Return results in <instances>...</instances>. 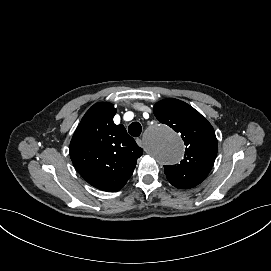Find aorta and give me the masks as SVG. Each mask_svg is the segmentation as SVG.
<instances>
[{"mask_svg": "<svg viewBox=\"0 0 271 271\" xmlns=\"http://www.w3.org/2000/svg\"><path fill=\"white\" fill-rule=\"evenodd\" d=\"M145 140L147 150L161 163L176 164L183 158V141L167 126L148 131Z\"/></svg>", "mask_w": 271, "mask_h": 271, "instance_id": "obj_1", "label": "aorta"}]
</instances>
